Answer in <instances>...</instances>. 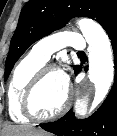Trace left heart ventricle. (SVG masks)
Wrapping results in <instances>:
<instances>
[{
  "instance_id": "obj_1",
  "label": "left heart ventricle",
  "mask_w": 117,
  "mask_h": 136,
  "mask_svg": "<svg viewBox=\"0 0 117 136\" xmlns=\"http://www.w3.org/2000/svg\"><path fill=\"white\" fill-rule=\"evenodd\" d=\"M67 93L60 72L46 76L37 88L33 98L34 111L41 116L51 115L63 104Z\"/></svg>"
}]
</instances>
